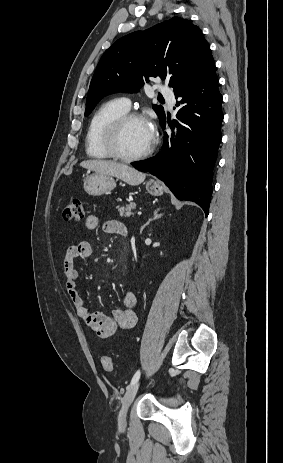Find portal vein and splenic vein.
Returning <instances> with one entry per match:
<instances>
[{
	"label": "portal vein and splenic vein",
	"instance_id": "18ae733b",
	"mask_svg": "<svg viewBox=\"0 0 283 463\" xmlns=\"http://www.w3.org/2000/svg\"><path fill=\"white\" fill-rule=\"evenodd\" d=\"M139 215H141L142 213L141 212H138Z\"/></svg>",
	"mask_w": 283,
	"mask_h": 463
}]
</instances>
